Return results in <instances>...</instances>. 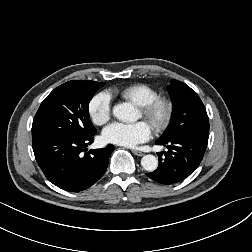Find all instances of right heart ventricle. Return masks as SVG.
I'll return each instance as SVG.
<instances>
[{
	"mask_svg": "<svg viewBox=\"0 0 252 252\" xmlns=\"http://www.w3.org/2000/svg\"><path fill=\"white\" fill-rule=\"evenodd\" d=\"M118 94L139 107L148 104L158 97L157 91L146 84L129 85L118 91Z\"/></svg>",
	"mask_w": 252,
	"mask_h": 252,
	"instance_id": "right-heart-ventricle-1",
	"label": "right heart ventricle"
}]
</instances>
